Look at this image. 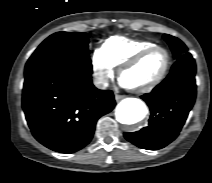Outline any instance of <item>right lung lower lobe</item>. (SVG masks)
<instances>
[{
	"instance_id": "right-lung-lower-lobe-1",
	"label": "right lung lower lobe",
	"mask_w": 212,
	"mask_h": 183,
	"mask_svg": "<svg viewBox=\"0 0 212 183\" xmlns=\"http://www.w3.org/2000/svg\"><path fill=\"white\" fill-rule=\"evenodd\" d=\"M87 60L27 62L22 107L33 136L47 148L73 153L92 139L97 120L116 105L111 90L92 84Z\"/></svg>"
}]
</instances>
